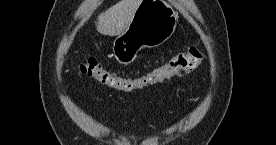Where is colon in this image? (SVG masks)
I'll list each match as a JSON object with an SVG mask.
<instances>
[{
  "instance_id": "obj_1",
  "label": "colon",
  "mask_w": 276,
  "mask_h": 145,
  "mask_svg": "<svg viewBox=\"0 0 276 145\" xmlns=\"http://www.w3.org/2000/svg\"><path fill=\"white\" fill-rule=\"evenodd\" d=\"M203 61L198 46L173 55L166 63L149 71L142 77L130 78L102 66L96 59L87 58L77 63L76 68L83 76L102 86L121 92H134L149 86L167 82L196 69Z\"/></svg>"
}]
</instances>
